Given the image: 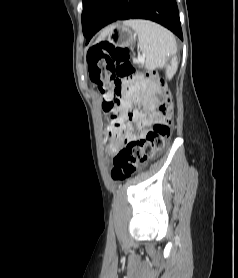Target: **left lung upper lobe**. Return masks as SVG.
I'll return each instance as SVG.
<instances>
[{
  "label": "left lung upper lobe",
  "instance_id": "5c2ea615",
  "mask_svg": "<svg viewBox=\"0 0 238 278\" xmlns=\"http://www.w3.org/2000/svg\"><path fill=\"white\" fill-rule=\"evenodd\" d=\"M106 0H83L82 28L86 36L89 32L98 12Z\"/></svg>",
  "mask_w": 238,
  "mask_h": 278
}]
</instances>
